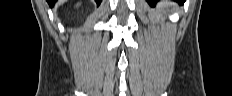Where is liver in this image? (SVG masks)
<instances>
[{
	"label": "liver",
	"mask_w": 232,
	"mask_h": 96,
	"mask_svg": "<svg viewBox=\"0 0 232 96\" xmlns=\"http://www.w3.org/2000/svg\"><path fill=\"white\" fill-rule=\"evenodd\" d=\"M63 2H64V0H60V1H58L57 4H62Z\"/></svg>",
	"instance_id": "liver-1"
}]
</instances>
